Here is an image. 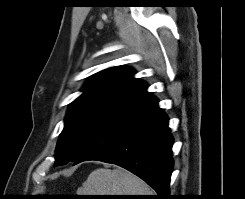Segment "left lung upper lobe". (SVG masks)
<instances>
[{
  "label": "left lung upper lobe",
  "instance_id": "obj_1",
  "mask_svg": "<svg viewBox=\"0 0 245 199\" xmlns=\"http://www.w3.org/2000/svg\"><path fill=\"white\" fill-rule=\"evenodd\" d=\"M128 67H111L92 75L67 112L56 147V163L76 161L93 137L147 91Z\"/></svg>",
  "mask_w": 245,
  "mask_h": 199
}]
</instances>
